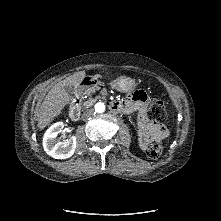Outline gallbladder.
Returning <instances> with one entry per match:
<instances>
[{
    "mask_svg": "<svg viewBox=\"0 0 221 221\" xmlns=\"http://www.w3.org/2000/svg\"><path fill=\"white\" fill-rule=\"evenodd\" d=\"M65 90H66V92H67L70 96L73 95V89H72V87L66 86V87H65Z\"/></svg>",
    "mask_w": 221,
    "mask_h": 221,
    "instance_id": "1",
    "label": "gallbladder"
}]
</instances>
